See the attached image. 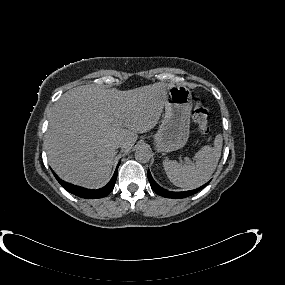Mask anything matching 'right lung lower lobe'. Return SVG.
<instances>
[{
	"instance_id": "1",
	"label": "right lung lower lobe",
	"mask_w": 285,
	"mask_h": 285,
	"mask_svg": "<svg viewBox=\"0 0 285 285\" xmlns=\"http://www.w3.org/2000/svg\"><path fill=\"white\" fill-rule=\"evenodd\" d=\"M119 164L117 165L116 170L114 172V175L111 178V180L109 181V183L106 186H104L100 189H95V190L86 189L83 187L72 185L70 183H67V182L61 180L54 172H53V174L56 177L57 181L68 192H70V193H72L78 197H81V198L98 199V198H102V197L107 196L113 190L116 179H117V172H118Z\"/></svg>"
}]
</instances>
